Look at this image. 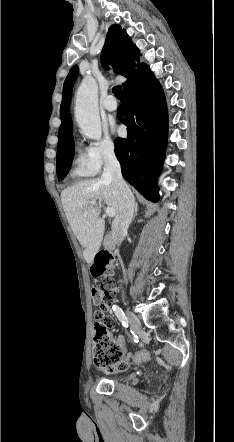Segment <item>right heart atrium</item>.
<instances>
[{"instance_id":"1","label":"right heart atrium","mask_w":234,"mask_h":442,"mask_svg":"<svg viewBox=\"0 0 234 442\" xmlns=\"http://www.w3.org/2000/svg\"><path fill=\"white\" fill-rule=\"evenodd\" d=\"M86 151L93 167L98 172L104 164L115 158L116 144L111 138L105 137L90 144Z\"/></svg>"}]
</instances>
